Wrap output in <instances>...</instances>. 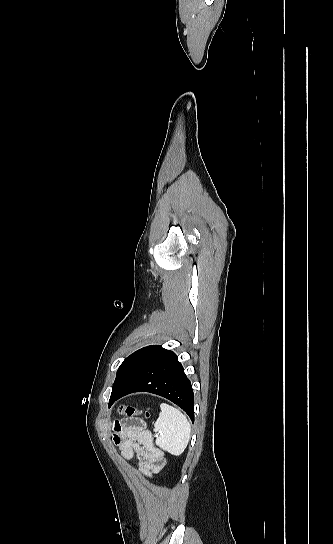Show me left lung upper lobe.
Instances as JSON below:
<instances>
[{"label":"left lung upper lobe","instance_id":"left-lung-upper-lobe-1","mask_svg":"<svg viewBox=\"0 0 333 544\" xmlns=\"http://www.w3.org/2000/svg\"><path fill=\"white\" fill-rule=\"evenodd\" d=\"M161 349L162 346H147L127 357L117 371L112 392L121 390L138 373L144 364Z\"/></svg>","mask_w":333,"mask_h":544}]
</instances>
